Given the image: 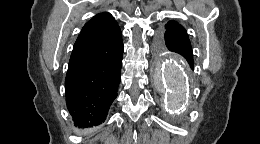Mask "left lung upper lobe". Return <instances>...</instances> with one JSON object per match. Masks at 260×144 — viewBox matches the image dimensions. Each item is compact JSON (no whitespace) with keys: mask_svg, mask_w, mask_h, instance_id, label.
<instances>
[{"mask_svg":"<svg viewBox=\"0 0 260 144\" xmlns=\"http://www.w3.org/2000/svg\"><path fill=\"white\" fill-rule=\"evenodd\" d=\"M165 29H166V31L179 32V33L187 34L184 27L182 25H180L179 23H177L176 21H169L165 25ZM160 46H161V48H164V49L167 48L166 44H163V43H160Z\"/></svg>","mask_w":260,"mask_h":144,"instance_id":"obj_1","label":"left lung upper lobe"}]
</instances>
